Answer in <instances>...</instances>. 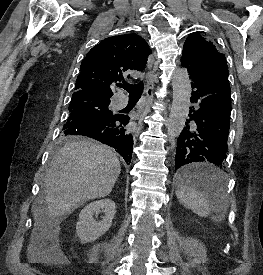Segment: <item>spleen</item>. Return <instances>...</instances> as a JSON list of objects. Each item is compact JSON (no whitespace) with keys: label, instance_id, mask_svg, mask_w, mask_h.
I'll list each match as a JSON object with an SVG mask.
<instances>
[{"label":"spleen","instance_id":"3e777b00","mask_svg":"<svg viewBox=\"0 0 263 275\" xmlns=\"http://www.w3.org/2000/svg\"><path fill=\"white\" fill-rule=\"evenodd\" d=\"M197 166L209 171H213L221 178L220 183L213 194L214 202L216 204L215 210L217 212V214L213 217V220L216 222H221L224 220L228 206L226 175L222 170L214 168L208 164H199ZM176 196L182 205L191 209L200 217H208L211 213V200L192 183H181L176 191Z\"/></svg>","mask_w":263,"mask_h":275}]
</instances>
